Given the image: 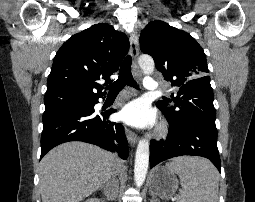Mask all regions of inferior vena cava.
I'll return each instance as SVG.
<instances>
[{"instance_id":"obj_1","label":"inferior vena cava","mask_w":255,"mask_h":202,"mask_svg":"<svg viewBox=\"0 0 255 202\" xmlns=\"http://www.w3.org/2000/svg\"><path fill=\"white\" fill-rule=\"evenodd\" d=\"M118 171H116L117 173ZM106 192L108 193V195L112 198H115L117 196V192H118V184L117 181L115 179V176H113L111 179H109L104 186Z\"/></svg>"}]
</instances>
